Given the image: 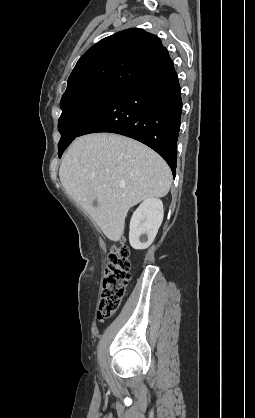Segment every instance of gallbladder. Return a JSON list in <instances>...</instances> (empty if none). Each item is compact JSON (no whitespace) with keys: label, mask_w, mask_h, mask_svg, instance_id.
<instances>
[{"label":"gallbladder","mask_w":255,"mask_h":418,"mask_svg":"<svg viewBox=\"0 0 255 418\" xmlns=\"http://www.w3.org/2000/svg\"><path fill=\"white\" fill-rule=\"evenodd\" d=\"M94 206H97V201L96 200L94 201Z\"/></svg>","instance_id":"bac80fb5"}]
</instances>
